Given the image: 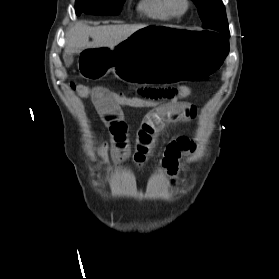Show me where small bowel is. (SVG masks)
I'll list each match as a JSON object with an SVG mask.
<instances>
[{
	"label": "small bowel",
	"instance_id": "small-bowel-1",
	"mask_svg": "<svg viewBox=\"0 0 279 279\" xmlns=\"http://www.w3.org/2000/svg\"><path fill=\"white\" fill-rule=\"evenodd\" d=\"M168 88L137 89L139 95L160 97L167 92ZM103 123L108 127L111 134V156L116 163H121L132 156L138 166H143L154 147L156 136L168 124L176 122H188L197 114V107L186 101L161 102L149 110L138 129L135 148L132 153L128 137V126L124 120L121 106L113 102L109 97V90L104 87H95L90 96ZM98 150L105 149L104 144L97 146ZM195 150L194 142L188 137H178L166 146L162 157V166L165 169L169 184L174 187L177 184V173L180 159L191 155Z\"/></svg>",
	"mask_w": 279,
	"mask_h": 279
}]
</instances>
